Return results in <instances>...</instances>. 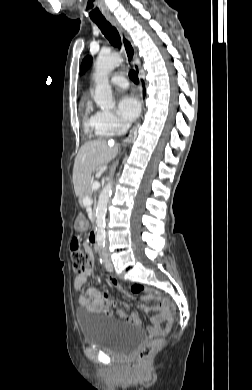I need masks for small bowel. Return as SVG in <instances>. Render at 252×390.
Listing matches in <instances>:
<instances>
[{"label":"small bowel","instance_id":"obj_1","mask_svg":"<svg viewBox=\"0 0 252 390\" xmlns=\"http://www.w3.org/2000/svg\"><path fill=\"white\" fill-rule=\"evenodd\" d=\"M85 248L91 252L89 245H85ZM92 273V269L79 273L75 276L73 286L76 291H82L79 296V304L87 311L95 314L111 315L112 308H115L119 317L127 323L140 324L141 319L135 312L126 314L125 311L116 306L113 299L95 288H86V284L89 276ZM110 284L117 282L115 278L109 279ZM119 285V284H118ZM121 294L126 295L121 289H117ZM142 300H154L155 298L151 295L143 296ZM146 311H154L155 314L151 317L152 326L148 328V334L150 336L162 335L169 331L173 318L168 311L167 301L163 300L159 305L154 306L152 309L143 307Z\"/></svg>","mask_w":252,"mask_h":390}]
</instances>
